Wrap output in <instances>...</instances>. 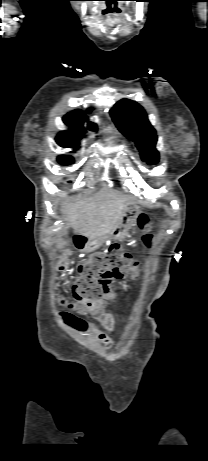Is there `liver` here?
I'll return each instance as SVG.
<instances>
[{
	"instance_id": "6515ba94",
	"label": "liver",
	"mask_w": 208,
	"mask_h": 461,
	"mask_svg": "<svg viewBox=\"0 0 208 461\" xmlns=\"http://www.w3.org/2000/svg\"><path fill=\"white\" fill-rule=\"evenodd\" d=\"M129 197L111 189H103L94 196L65 204L63 221L74 231L89 239L103 238L121 222Z\"/></svg>"
}]
</instances>
